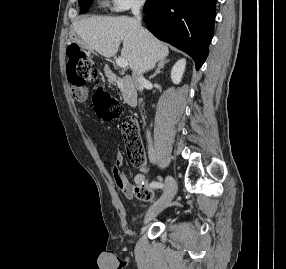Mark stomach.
<instances>
[{
  "instance_id": "0dacf381",
  "label": "stomach",
  "mask_w": 286,
  "mask_h": 269,
  "mask_svg": "<svg viewBox=\"0 0 286 269\" xmlns=\"http://www.w3.org/2000/svg\"><path fill=\"white\" fill-rule=\"evenodd\" d=\"M70 39H71L72 42H76V43H78V44L81 45V46L84 45L83 40H82L81 38L75 36V35H72V36L70 37Z\"/></svg>"
}]
</instances>
